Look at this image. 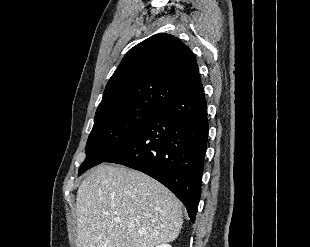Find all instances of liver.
I'll list each match as a JSON object with an SVG mask.
<instances>
[{"label": "liver", "mask_w": 310, "mask_h": 247, "mask_svg": "<svg viewBox=\"0 0 310 247\" xmlns=\"http://www.w3.org/2000/svg\"><path fill=\"white\" fill-rule=\"evenodd\" d=\"M76 247H155L174 241L182 203L150 176L101 164L77 191Z\"/></svg>", "instance_id": "1"}]
</instances>
